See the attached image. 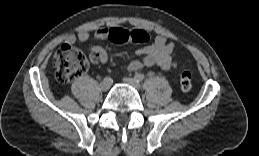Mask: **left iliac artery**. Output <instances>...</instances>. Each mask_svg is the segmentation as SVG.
<instances>
[{
  "label": "left iliac artery",
  "mask_w": 259,
  "mask_h": 156,
  "mask_svg": "<svg viewBox=\"0 0 259 156\" xmlns=\"http://www.w3.org/2000/svg\"><path fill=\"white\" fill-rule=\"evenodd\" d=\"M135 79H136L137 81H143V80L145 79V76H144V74L137 73V74L135 75Z\"/></svg>",
  "instance_id": "left-iliac-artery-1"
}]
</instances>
